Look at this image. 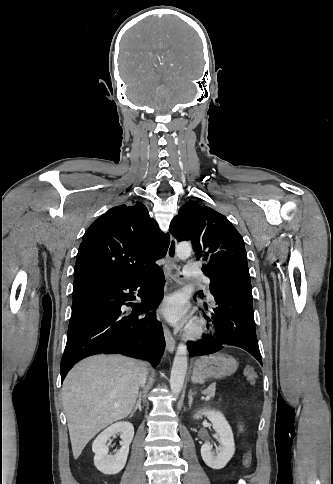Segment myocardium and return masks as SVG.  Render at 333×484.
I'll return each instance as SVG.
<instances>
[{"label":"myocardium","mask_w":333,"mask_h":484,"mask_svg":"<svg viewBox=\"0 0 333 484\" xmlns=\"http://www.w3.org/2000/svg\"><path fill=\"white\" fill-rule=\"evenodd\" d=\"M206 330V323L199 319L190 325L187 336L190 339H199L205 334Z\"/></svg>","instance_id":"myocardium-1"}]
</instances>
